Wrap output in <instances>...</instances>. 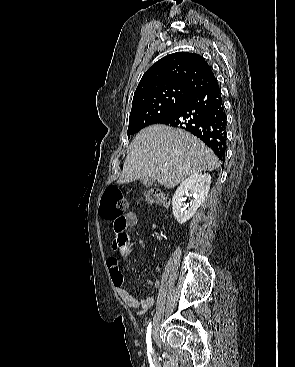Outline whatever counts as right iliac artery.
I'll return each instance as SVG.
<instances>
[{"instance_id": "82829eb1", "label": "right iliac artery", "mask_w": 295, "mask_h": 367, "mask_svg": "<svg viewBox=\"0 0 295 367\" xmlns=\"http://www.w3.org/2000/svg\"><path fill=\"white\" fill-rule=\"evenodd\" d=\"M151 327L152 324L151 322L149 323L148 327H147V334H146V343H147V351L148 353H152V342H151Z\"/></svg>"}]
</instances>
